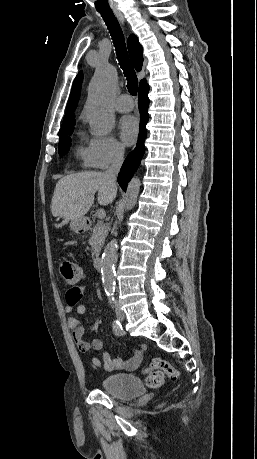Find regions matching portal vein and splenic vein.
<instances>
[{"instance_id": "18ae733b", "label": "portal vein and splenic vein", "mask_w": 257, "mask_h": 459, "mask_svg": "<svg viewBox=\"0 0 257 459\" xmlns=\"http://www.w3.org/2000/svg\"><path fill=\"white\" fill-rule=\"evenodd\" d=\"M96 216H97V218H99V219H104L105 216H106V213H105L104 210L99 209V210L96 211Z\"/></svg>"}]
</instances>
